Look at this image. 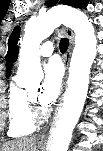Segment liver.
<instances>
[{
    "label": "liver",
    "mask_w": 103,
    "mask_h": 151,
    "mask_svg": "<svg viewBox=\"0 0 103 151\" xmlns=\"http://www.w3.org/2000/svg\"><path fill=\"white\" fill-rule=\"evenodd\" d=\"M0 151H37L36 137H24L3 144Z\"/></svg>",
    "instance_id": "obj_1"
}]
</instances>
